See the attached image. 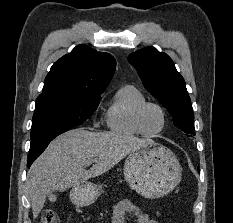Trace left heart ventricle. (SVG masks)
I'll use <instances>...</instances> for the list:
<instances>
[{"mask_svg":"<svg viewBox=\"0 0 233 223\" xmlns=\"http://www.w3.org/2000/svg\"><path fill=\"white\" fill-rule=\"evenodd\" d=\"M145 128L150 133H158L164 127V117L162 112L156 107H148L143 116Z\"/></svg>","mask_w":233,"mask_h":223,"instance_id":"1","label":"left heart ventricle"}]
</instances>
